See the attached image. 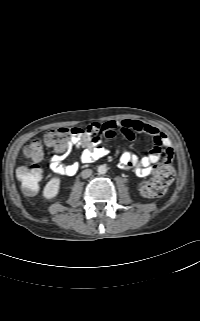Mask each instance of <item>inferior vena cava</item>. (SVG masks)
I'll use <instances>...</instances> for the list:
<instances>
[{
	"label": "inferior vena cava",
	"instance_id": "602c4592",
	"mask_svg": "<svg viewBox=\"0 0 200 321\" xmlns=\"http://www.w3.org/2000/svg\"><path fill=\"white\" fill-rule=\"evenodd\" d=\"M92 174V170L91 169H85L81 172V176L83 179H86L88 177H90Z\"/></svg>",
	"mask_w": 200,
	"mask_h": 321
}]
</instances>
